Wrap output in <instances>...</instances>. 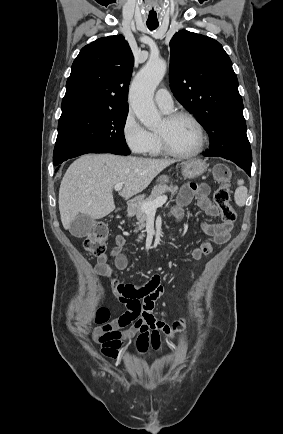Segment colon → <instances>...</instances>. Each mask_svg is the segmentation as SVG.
Instances as JSON below:
<instances>
[{
	"mask_svg": "<svg viewBox=\"0 0 283 434\" xmlns=\"http://www.w3.org/2000/svg\"><path fill=\"white\" fill-rule=\"evenodd\" d=\"M213 175L219 183V187L214 193V202L220 210L222 220L233 223L236 214L230 203L229 181L231 171L224 164H216L213 169ZM108 236L107 227L104 224H99L94 231L85 237L83 241L84 250L95 257L104 255L107 248ZM108 316V311L101 308L96 312L94 320L97 324H103L107 321Z\"/></svg>",
	"mask_w": 283,
	"mask_h": 434,
	"instance_id": "1",
	"label": "colon"
}]
</instances>
